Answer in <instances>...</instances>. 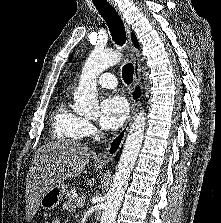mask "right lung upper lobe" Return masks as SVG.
I'll list each match as a JSON object with an SVG mask.
<instances>
[{
  "instance_id": "cb5924a9",
  "label": "right lung upper lobe",
  "mask_w": 221,
  "mask_h": 223,
  "mask_svg": "<svg viewBox=\"0 0 221 223\" xmlns=\"http://www.w3.org/2000/svg\"><path fill=\"white\" fill-rule=\"evenodd\" d=\"M131 38H132V42H133L134 46L137 48L138 47V41H137L136 36L133 33L131 34Z\"/></svg>"
}]
</instances>
